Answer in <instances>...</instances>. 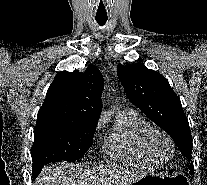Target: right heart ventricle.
I'll use <instances>...</instances> for the list:
<instances>
[{
    "label": "right heart ventricle",
    "mask_w": 207,
    "mask_h": 185,
    "mask_svg": "<svg viewBox=\"0 0 207 185\" xmlns=\"http://www.w3.org/2000/svg\"><path fill=\"white\" fill-rule=\"evenodd\" d=\"M150 124L137 113L124 110L118 114L113 131L105 146L112 157L129 164L152 166L159 161L145 145L146 133Z\"/></svg>",
    "instance_id": "e07e8e85"
}]
</instances>
